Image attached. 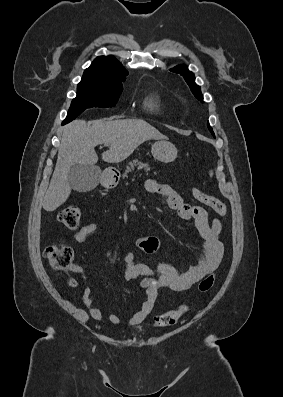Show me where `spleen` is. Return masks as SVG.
I'll return each mask as SVG.
<instances>
[{
    "label": "spleen",
    "mask_w": 283,
    "mask_h": 397,
    "mask_svg": "<svg viewBox=\"0 0 283 397\" xmlns=\"http://www.w3.org/2000/svg\"><path fill=\"white\" fill-rule=\"evenodd\" d=\"M209 175H210V176H213V171H210V172H209Z\"/></svg>",
    "instance_id": "spleen-1"
}]
</instances>
